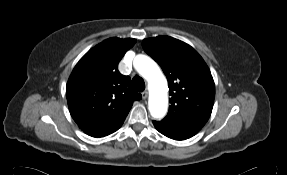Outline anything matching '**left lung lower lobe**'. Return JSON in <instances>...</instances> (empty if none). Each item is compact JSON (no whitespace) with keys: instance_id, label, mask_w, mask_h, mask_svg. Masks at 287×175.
Segmentation results:
<instances>
[{"instance_id":"1","label":"left lung lower lobe","mask_w":287,"mask_h":175,"mask_svg":"<svg viewBox=\"0 0 287 175\" xmlns=\"http://www.w3.org/2000/svg\"><path fill=\"white\" fill-rule=\"evenodd\" d=\"M153 124L155 126V128L160 132L162 133L163 135L171 138V139H174V140H185L186 138L180 136V135H177L176 133L170 131L169 129L163 127L162 125H160L158 122L156 121H153Z\"/></svg>"}]
</instances>
